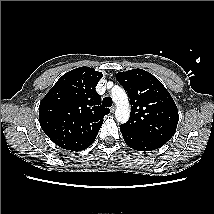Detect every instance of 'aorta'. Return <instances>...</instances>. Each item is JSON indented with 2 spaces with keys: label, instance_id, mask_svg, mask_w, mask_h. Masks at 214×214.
Returning a JSON list of instances; mask_svg holds the SVG:
<instances>
[{
  "label": "aorta",
  "instance_id": "aorta-1",
  "mask_svg": "<svg viewBox=\"0 0 214 214\" xmlns=\"http://www.w3.org/2000/svg\"><path fill=\"white\" fill-rule=\"evenodd\" d=\"M111 97L116 104V120L120 123H126L130 116V106L125 90L119 86H114L111 90Z\"/></svg>",
  "mask_w": 214,
  "mask_h": 214
}]
</instances>
